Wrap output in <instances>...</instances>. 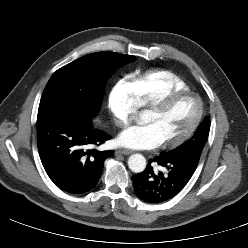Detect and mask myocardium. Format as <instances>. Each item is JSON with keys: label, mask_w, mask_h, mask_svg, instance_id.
<instances>
[{"label": "myocardium", "mask_w": 248, "mask_h": 248, "mask_svg": "<svg viewBox=\"0 0 248 248\" xmlns=\"http://www.w3.org/2000/svg\"><path fill=\"white\" fill-rule=\"evenodd\" d=\"M183 97H193L197 101L198 104L197 114L190 127L183 134H181L179 137L175 139L161 142L160 146L162 148H173L179 146L185 141H187L194 134V132L197 130L198 126L200 125L204 115V109H205L204 101L199 94L192 92L190 90L173 91L163 95L156 101L152 102L149 106H147L146 111H162L165 110L167 107H169L174 101Z\"/></svg>", "instance_id": "obj_1"}]
</instances>
